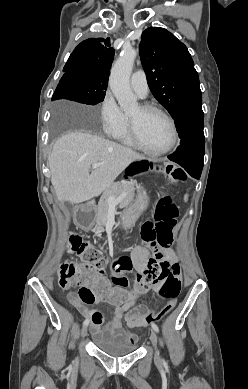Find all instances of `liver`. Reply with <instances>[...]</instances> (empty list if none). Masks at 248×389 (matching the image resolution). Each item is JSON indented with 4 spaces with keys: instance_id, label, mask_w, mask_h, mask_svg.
<instances>
[{
    "instance_id": "1",
    "label": "liver",
    "mask_w": 248,
    "mask_h": 389,
    "mask_svg": "<svg viewBox=\"0 0 248 389\" xmlns=\"http://www.w3.org/2000/svg\"><path fill=\"white\" fill-rule=\"evenodd\" d=\"M144 156L113 141L71 132L53 145L49 157L51 183L60 202L79 204L99 196L133 161ZM102 163L90 173L91 165Z\"/></svg>"
}]
</instances>
